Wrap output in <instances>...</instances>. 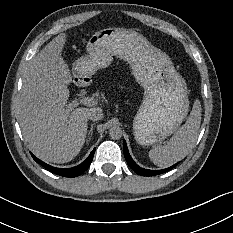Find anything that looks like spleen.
I'll list each match as a JSON object with an SVG mask.
<instances>
[{
    "mask_svg": "<svg viewBox=\"0 0 233 233\" xmlns=\"http://www.w3.org/2000/svg\"><path fill=\"white\" fill-rule=\"evenodd\" d=\"M201 104L196 100L186 123L179 128L166 145L149 151V157L159 167H168L183 159L197 141L201 123Z\"/></svg>",
    "mask_w": 233,
    "mask_h": 233,
    "instance_id": "3e777b00",
    "label": "spleen"
}]
</instances>
